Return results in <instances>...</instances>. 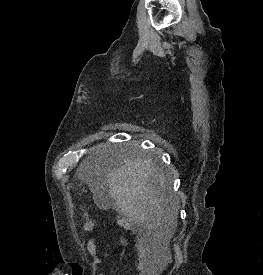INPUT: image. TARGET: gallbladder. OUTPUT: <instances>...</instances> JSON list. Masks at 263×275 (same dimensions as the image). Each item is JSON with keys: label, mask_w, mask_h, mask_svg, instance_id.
<instances>
[{"label": "gallbladder", "mask_w": 263, "mask_h": 275, "mask_svg": "<svg viewBox=\"0 0 263 275\" xmlns=\"http://www.w3.org/2000/svg\"><path fill=\"white\" fill-rule=\"evenodd\" d=\"M94 202L98 208L101 210H108L113 208L114 202L111 196L108 193L106 188L100 189L94 193L93 196Z\"/></svg>", "instance_id": "bac80fb5"}]
</instances>
